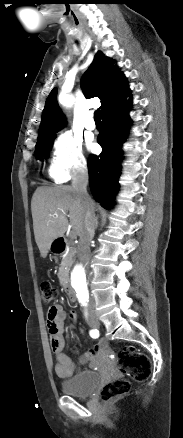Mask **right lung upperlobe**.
Instances as JSON below:
<instances>
[{
	"instance_id": "right-lung-upper-lobe-1",
	"label": "right lung upper lobe",
	"mask_w": 183,
	"mask_h": 438,
	"mask_svg": "<svg viewBox=\"0 0 183 438\" xmlns=\"http://www.w3.org/2000/svg\"><path fill=\"white\" fill-rule=\"evenodd\" d=\"M81 85L88 98L98 97L101 100L102 114L123 101L130 92L125 76L100 51L83 76ZM64 124L65 118L57 103V89L54 88L46 100L38 137L55 134Z\"/></svg>"
}]
</instances>
